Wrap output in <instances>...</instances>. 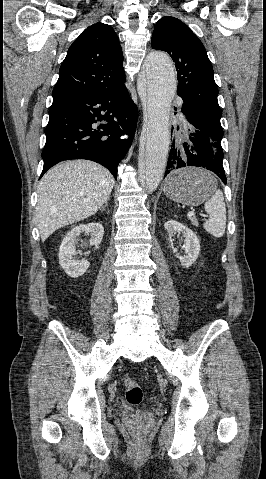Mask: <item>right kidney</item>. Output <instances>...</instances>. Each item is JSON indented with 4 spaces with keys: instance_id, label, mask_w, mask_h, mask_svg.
<instances>
[{
    "instance_id": "ca27d5eb",
    "label": "right kidney",
    "mask_w": 266,
    "mask_h": 479,
    "mask_svg": "<svg viewBox=\"0 0 266 479\" xmlns=\"http://www.w3.org/2000/svg\"><path fill=\"white\" fill-rule=\"evenodd\" d=\"M90 234V245L98 246L103 238L104 228L100 223L80 224L67 233L59 249V264L66 274L72 278L83 275L88 269L90 263L83 260H75L76 246L75 242L81 233Z\"/></svg>"
}]
</instances>
